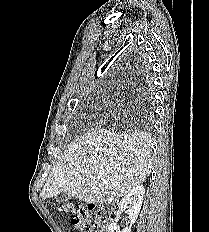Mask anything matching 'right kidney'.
Here are the masks:
<instances>
[{"label": "right kidney", "mask_w": 209, "mask_h": 232, "mask_svg": "<svg viewBox=\"0 0 209 232\" xmlns=\"http://www.w3.org/2000/svg\"><path fill=\"white\" fill-rule=\"evenodd\" d=\"M144 194L145 188L143 186H136L124 196L118 206L121 211H125L128 208L127 212L129 215L128 218L130 221V226L120 231L115 223H111L108 226L107 232H131L132 224L135 223L140 213Z\"/></svg>", "instance_id": "1"}]
</instances>
